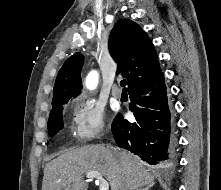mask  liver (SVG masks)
Here are the masks:
<instances>
[{"label": "liver", "instance_id": "1", "mask_svg": "<svg viewBox=\"0 0 221 190\" xmlns=\"http://www.w3.org/2000/svg\"><path fill=\"white\" fill-rule=\"evenodd\" d=\"M115 155L108 146L86 145L72 148L48 162L44 168L42 190H87L84 174L97 171L109 181L111 190H141L154 185V176L143 162L126 150Z\"/></svg>", "mask_w": 221, "mask_h": 190}]
</instances>
